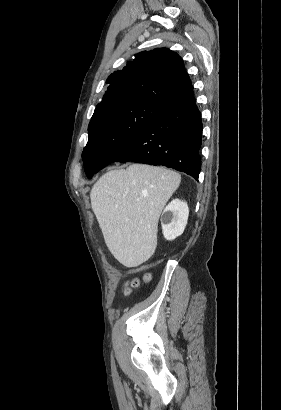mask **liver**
I'll list each match as a JSON object with an SVG mask.
<instances>
[{"label": "liver", "mask_w": 281, "mask_h": 410, "mask_svg": "<svg viewBox=\"0 0 281 410\" xmlns=\"http://www.w3.org/2000/svg\"><path fill=\"white\" fill-rule=\"evenodd\" d=\"M180 182L175 171L131 164L93 185L92 210L109 251L122 265L137 267L154 254L160 214Z\"/></svg>", "instance_id": "obj_1"}]
</instances>
